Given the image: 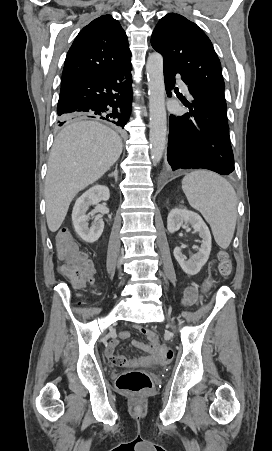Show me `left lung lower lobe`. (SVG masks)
<instances>
[{
    "label": "left lung lower lobe",
    "mask_w": 272,
    "mask_h": 451,
    "mask_svg": "<svg viewBox=\"0 0 272 451\" xmlns=\"http://www.w3.org/2000/svg\"><path fill=\"white\" fill-rule=\"evenodd\" d=\"M163 69L166 92L171 96L175 75L179 72L165 63ZM186 85L194 98L190 104L193 109L189 107L190 114L170 116L168 163L173 171L203 168L228 175L234 170V156L226 109L197 89Z\"/></svg>",
    "instance_id": "left-lung-lower-lobe-1"
}]
</instances>
